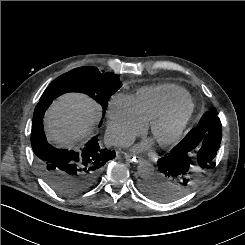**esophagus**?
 <instances>
[{"instance_id":"esophagus-1","label":"esophagus","mask_w":245,"mask_h":245,"mask_svg":"<svg viewBox=\"0 0 245 245\" xmlns=\"http://www.w3.org/2000/svg\"><path fill=\"white\" fill-rule=\"evenodd\" d=\"M125 159L134 164H138L143 161V158L131 154H126Z\"/></svg>"}]
</instances>
